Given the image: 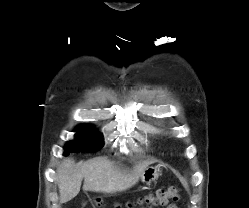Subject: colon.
Returning <instances> with one entry per match:
<instances>
[{
	"mask_svg": "<svg viewBox=\"0 0 249 208\" xmlns=\"http://www.w3.org/2000/svg\"><path fill=\"white\" fill-rule=\"evenodd\" d=\"M170 200H179V190L176 187H169L167 189H158L155 193L146 195L139 199L137 202L128 203L126 208H135V206L142 207H153L158 205H166ZM100 207L101 203H97ZM114 208H123L121 205L117 204Z\"/></svg>",
	"mask_w": 249,
	"mask_h": 208,
	"instance_id": "colon-1",
	"label": "colon"
}]
</instances>
